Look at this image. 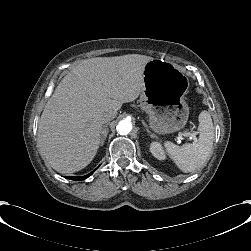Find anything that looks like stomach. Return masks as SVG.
<instances>
[{
  "label": "stomach",
  "instance_id": "1",
  "mask_svg": "<svg viewBox=\"0 0 251 251\" xmlns=\"http://www.w3.org/2000/svg\"><path fill=\"white\" fill-rule=\"evenodd\" d=\"M140 105L148 113L151 127L158 132L181 129L188 118L183 97L189 80L172 62L154 58L143 69Z\"/></svg>",
  "mask_w": 251,
  "mask_h": 251
}]
</instances>
